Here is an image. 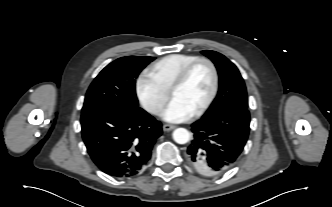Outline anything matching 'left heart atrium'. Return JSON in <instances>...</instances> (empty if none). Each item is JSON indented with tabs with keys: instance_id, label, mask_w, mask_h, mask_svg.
Instances as JSON below:
<instances>
[{
	"instance_id": "left-heart-atrium-1",
	"label": "left heart atrium",
	"mask_w": 332,
	"mask_h": 207,
	"mask_svg": "<svg viewBox=\"0 0 332 207\" xmlns=\"http://www.w3.org/2000/svg\"><path fill=\"white\" fill-rule=\"evenodd\" d=\"M193 111L187 108L177 99H172L162 113V117L167 122H183L193 116Z\"/></svg>"
}]
</instances>
